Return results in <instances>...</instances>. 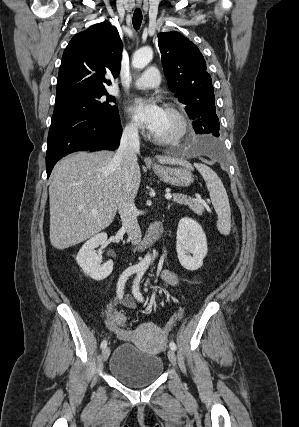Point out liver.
I'll return each mask as SVG.
<instances>
[{
	"label": "liver",
	"instance_id": "liver-1",
	"mask_svg": "<svg viewBox=\"0 0 299 427\" xmlns=\"http://www.w3.org/2000/svg\"><path fill=\"white\" fill-rule=\"evenodd\" d=\"M157 160L192 169L183 159L158 156ZM140 181L136 163L131 179L133 199ZM125 184L122 162L115 159L113 151L76 152L57 162L49 186L52 246L66 249L108 227L116 215Z\"/></svg>",
	"mask_w": 299,
	"mask_h": 427
}]
</instances>
